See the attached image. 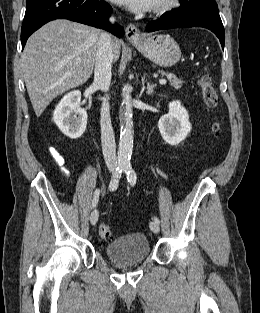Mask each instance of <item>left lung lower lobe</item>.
Masks as SVG:
<instances>
[{"label":"left lung lower lobe","instance_id":"obj_1","mask_svg":"<svg viewBox=\"0 0 260 313\" xmlns=\"http://www.w3.org/2000/svg\"><path fill=\"white\" fill-rule=\"evenodd\" d=\"M203 27L211 30L224 48L225 32L219 15L203 12L174 10L163 14L158 20L147 25L146 31L153 32L171 28Z\"/></svg>","mask_w":260,"mask_h":313}]
</instances>
